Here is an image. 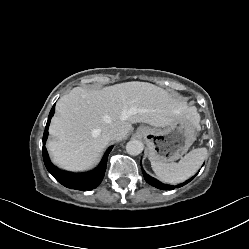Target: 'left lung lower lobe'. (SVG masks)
Listing matches in <instances>:
<instances>
[{"label": "left lung lower lobe", "mask_w": 249, "mask_h": 249, "mask_svg": "<svg viewBox=\"0 0 249 249\" xmlns=\"http://www.w3.org/2000/svg\"><path fill=\"white\" fill-rule=\"evenodd\" d=\"M143 175H144V178L146 180V182L156 188H159V189H162V190H171V189H174V188H179V187H182L184 186L185 184L189 183L194 177H192L191 179L187 180L186 182L180 184V185H177V186H171V185H166V184H163L161 183L160 181L156 180L155 178L147 175L144 170H143Z\"/></svg>", "instance_id": "1"}]
</instances>
